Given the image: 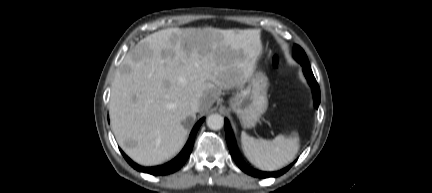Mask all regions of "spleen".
I'll return each mask as SVG.
<instances>
[{
  "mask_svg": "<svg viewBox=\"0 0 432 193\" xmlns=\"http://www.w3.org/2000/svg\"><path fill=\"white\" fill-rule=\"evenodd\" d=\"M244 155L256 167L265 171H275L289 164L299 151L297 133L287 137L282 134L273 140L255 139L245 132L241 134Z\"/></svg>",
  "mask_w": 432,
  "mask_h": 193,
  "instance_id": "obj_1",
  "label": "spleen"
}]
</instances>
